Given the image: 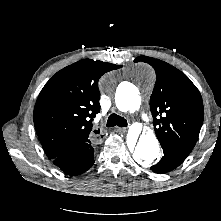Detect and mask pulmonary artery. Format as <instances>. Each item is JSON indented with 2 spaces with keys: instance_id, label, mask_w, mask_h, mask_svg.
Returning <instances> with one entry per match:
<instances>
[{
  "instance_id": "obj_1",
  "label": "pulmonary artery",
  "mask_w": 221,
  "mask_h": 221,
  "mask_svg": "<svg viewBox=\"0 0 221 221\" xmlns=\"http://www.w3.org/2000/svg\"><path fill=\"white\" fill-rule=\"evenodd\" d=\"M142 120H143L144 122H147V121H148L147 116L143 115V116H142Z\"/></svg>"
}]
</instances>
